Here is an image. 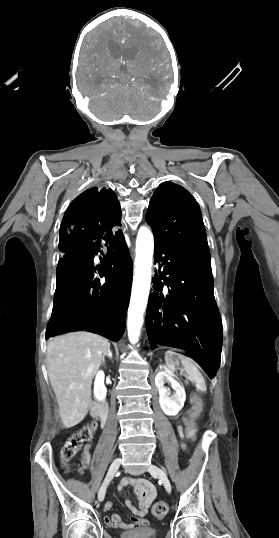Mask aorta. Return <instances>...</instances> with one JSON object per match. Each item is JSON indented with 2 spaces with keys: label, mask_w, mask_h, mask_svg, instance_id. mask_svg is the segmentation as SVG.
<instances>
[{
  "label": "aorta",
  "mask_w": 279,
  "mask_h": 538,
  "mask_svg": "<svg viewBox=\"0 0 279 538\" xmlns=\"http://www.w3.org/2000/svg\"><path fill=\"white\" fill-rule=\"evenodd\" d=\"M154 237L147 227H141L136 239L135 274L133 277L127 330L132 344L139 340L143 316L148 302L151 284V267Z\"/></svg>",
  "instance_id": "obj_1"
}]
</instances>
